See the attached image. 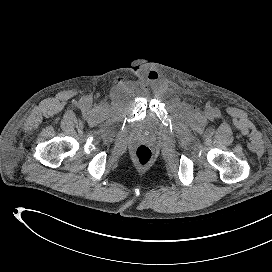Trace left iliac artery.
<instances>
[{"instance_id":"44dca946","label":"left iliac artery","mask_w":272,"mask_h":272,"mask_svg":"<svg viewBox=\"0 0 272 272\" xmlns=\"http://www.w3.org/2000/svg\"><path fill=\"white\" fill-rule=\"evenodd\" d=\"M215 116H219V113H218V112H216V113H215Z\"/></svg>"}]
</instances>
